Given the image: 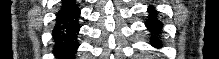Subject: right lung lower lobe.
I'll return each instance as SVG.
<instances>
[{"label": "right lung lower lobe", "mask_w": 219, "mask_h": 59, "mask_svg": "<svg viewBox=\"0 0 219 59\" xmlns=\"http://www.w3.org/2000/svg\"><path fill=\"white\" fill-rule=\"evenodd\" d=\"M80 9L74 0H64L62 7L57 13L56 25L53 30L54 54L60 59H72L78 43L76 34L79 31L77 23Z\"/></svg>", "instance_id": "1"}]
</instances>
